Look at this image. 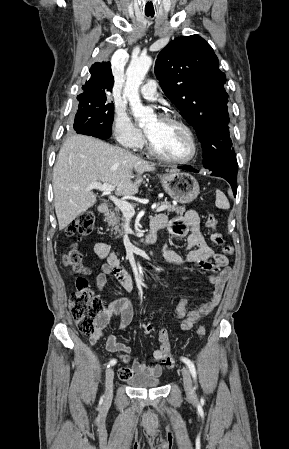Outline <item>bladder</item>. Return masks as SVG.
Segmentation results:
<instances>
[{
	"instance_id": "obj_1",
	"label": "bladder",
	"mask_w": 289,
	"mask_h": 449,
	"mask_svg": "<svg viewBox=\"0 0 289 449\" xmlns=\"http://www.w3.org/2000/svg\"><path fill=\"white\" fill-rule=\"evenodd\" d=\"M127 383L135 388H153L160 386L162 380L159 376L139 373L127 380Z\"/></svg>"
}]
</instances>
